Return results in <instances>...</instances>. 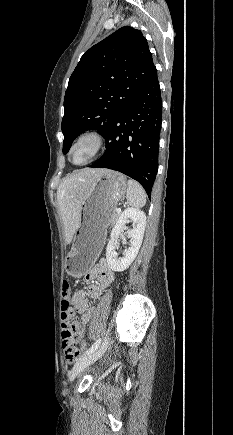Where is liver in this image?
<instances>
[{
	"label": "liver",
	"mask_w": 233,
	"mask_h": 435,
	"mask_svg": "<svg viewBox=\"0 0 233 435\" xmlns=\"http://www.w3.org/2000/svg\"><path fill=\"white\" fill-rule=\"evenodd\" d=\"M108 170L85 168L67 176L57 190V201L64 225L65 242L69 244L79 226L85 196L94 181Z\"/></svg>",
	"instance_id": "6515ba94"
}]
</instances>
